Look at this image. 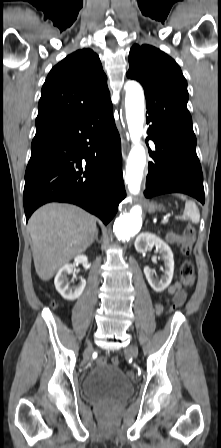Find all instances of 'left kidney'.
Segmentation results:
<instances>
[{"label": "left kidney", "mask_w": 221, "mask_h": 448, "mask_svg": "<svg viewBox=\"0 0 221 448\" xmlns=\"http://www.w3.org/2000/svg\"><path fill=\"white\" fill-rule=\"evenodd\" d=\"M153 245L160 250V254L162 255L165 266L164 274L159 281L153 277L152 271L148 266L144 268V274L152 289L156 292H162L170 285L173 278L174 259L172 250L167 243L153 233L143 232L135 240V249L139 253L146 251Z\"/></svg>", "instance_id": "5707ae66"}]
</instances>
